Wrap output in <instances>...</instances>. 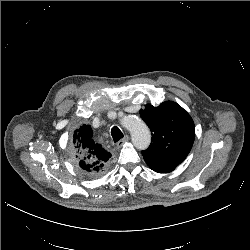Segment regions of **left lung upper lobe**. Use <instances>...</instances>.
Segmentation results:
<instances>
[{"mask_svg": "<svg viewBox=\"0 0 250 250\" xmlns=\"http://www.w3.org/2000/svg\"><path fill=\"white\" fill-rule=\"evenodd\" d=\"M140 116L152 134L150 146L142 151L145 162L158 173L173 171L187 157L194 142L191 116L172 101H165L158 107L146 104Z\"/></svg>", "mask_w": 250, "mask_h": 250, "instance_id": "left-lung-upper-lobe-1", "label": "left lung upper lobe"}]
</instances>
